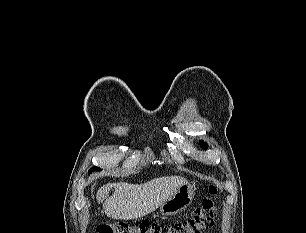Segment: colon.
I'll list each match as a JSON object with an SVG mask.
<instances>
[{
  "label": "colon",
  "instance_id": "1",
  "mask_svg": "<svg viewBox=\"0 0 306 233\" xmlns=\"http://www.w3.org/2000/svg\"><path fill=\"white\" fill-rule=\"evenodd\" d=\"M208 192L211 197L203 199L201 206L185 220L170 224L144 221L131 224L125 221H107L98 226L96 233H201L213 225L218 213L213 198L217 194V188L209 185Z\"/></svg>",
  "mask_w": 306,
  "mask_h": 233
}]
</instances>
